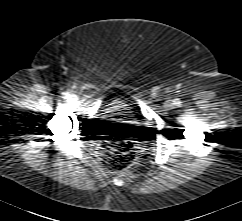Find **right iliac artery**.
<instances>
[{
	"label": "right iliac artery",
	"mask_w": 242,
	"mask_h": 221,
	"mask_svg": "<svg viewBox=\"0 0 242 221\" xmlns=\"http://www.w3.org/2000/svg\"><path fill=\"white\" fill-rule=\"evenodd\" d=\"M61 96H62V98L67 99L69 94H68V92H62Z\"/></svg>",
	"instance_id": "obj_1"
}]
</instances>
